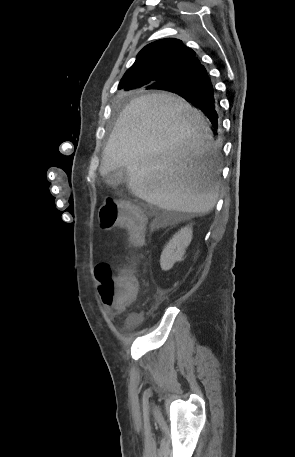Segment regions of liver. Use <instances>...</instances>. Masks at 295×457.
Returning <instances> with one entry per match:
<instances>
[{"label":"liver","mask_w":295,"mask_h":457,"mask_svg":"<svg viewBox=\"0 0 295 457\" xmlns=\"http://www.w3.org/2000/svg\"><path fill=\"white\" fill-rule=\"evenodd\" d=\"M210 139L204 115L184 99L165 92L142 95L120 113L100 174L125 167L136 197L167 211L206 214L216 205L221 171Z\"/></svg>","instance_id":"obj_1"}]
</instances>
